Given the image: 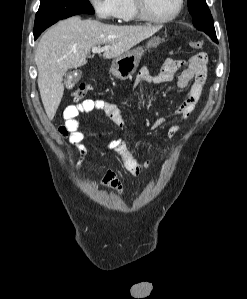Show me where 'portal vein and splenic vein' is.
<instances>
[{
  "label": "portal vein and splenic vein",
  "mask_w": 247,
  "mask_h": 299,
  "mask_svg": "<svg viewBox=\"0 0 247 299\" xmlns=\"http://www.w3.org/2000/svg\"><path fill=\"white\" fill-rule=\"evenodd\" d=\"M105 49H106V47H102V48H100V47H93L92 48V52L93 53H100V52L104 51Z\"/></svg>",
  "instance_id": "18ae733b"
}]
</instances>
